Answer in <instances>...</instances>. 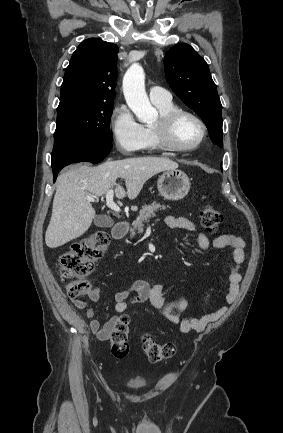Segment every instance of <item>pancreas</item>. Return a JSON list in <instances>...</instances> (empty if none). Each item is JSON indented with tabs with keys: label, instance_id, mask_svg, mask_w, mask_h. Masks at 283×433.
<instances>
[{
	"label": "pancreas",
	"instance_id": "1",
	"mask_svg": "<svg viewBox=\"0 0 283 433\" xmlns=\"http://www.w3.org/2000/svg\"><path fill=\"white\" fill-rule=\"evenodd\" d=\"M159 208H165V204H160V202H156V200H153L151 204H144V206H142L136 221H133L132 223L130 229L131 237L136 235L135 231L143 233L145 227L144 223H148L151 217H156L155 212H157Z\"/></svg>",
	"mask_w": 283,
	"mask_h": 433
}]
</instances>
